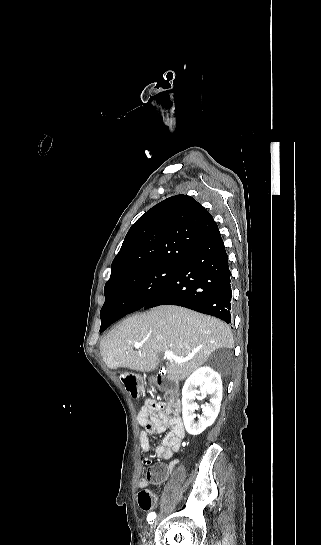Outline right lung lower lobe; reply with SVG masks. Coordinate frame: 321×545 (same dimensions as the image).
<instances>
[{"mask_svg":"<svg viewBox=\"0 0 321 545\" xmlns=\"http://www.w3.org/2000/svg\"><path fill=\"white\" fill-rule=\"evenodd\" d=\"M230 275L225 246L220 232H217L181 265L175 276L142 308L179 305L230 323ZM133 310L116 301L103 305L100 313L107 323L102 331Z\"/></svg>","mask_w":321,"mask_h":545,"instance_id":"98d812e1","label":"right lung lower lobe"}]
</instances>
